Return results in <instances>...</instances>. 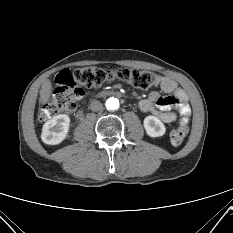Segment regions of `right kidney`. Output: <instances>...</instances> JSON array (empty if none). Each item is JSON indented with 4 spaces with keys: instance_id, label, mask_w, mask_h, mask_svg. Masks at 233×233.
<instances>
[{
    "instance_id": "obj_1",
    "label": "right kidney",
    "mask_w": 233,
    "mask_h": 233,
    "mask_svg": "<svg viewBox=\"0 0 233 233\" xmlns=\"http://www.w3.org/2000/svg\"><path fill=\"white\" fill-rule=\"evenodd\" d=\"M70 118L66 114H60L48 120L42 128L41 139L49 145L61 143L67 136Z\"/></svg>"
}]
</instances>
